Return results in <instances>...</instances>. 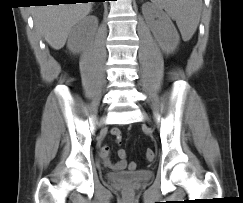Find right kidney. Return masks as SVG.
<instances>
[{"label":"right kidney","mask_w":243,"mask_h":203,"mask_svg":"<svg viewBox=\"0 0 243 203\" xmlns=\"http://www.w3.org/2000/svg\"><path fill=\"white\" fill-rule=\"evenodd\" d=\"M98 27V18L88 16L80 20L71 30L67 48L72 53H79L85 49L88 39L93 38Z\"/></svg>","instance_id":"1"}]
</instances>
